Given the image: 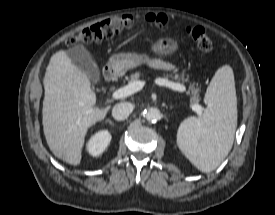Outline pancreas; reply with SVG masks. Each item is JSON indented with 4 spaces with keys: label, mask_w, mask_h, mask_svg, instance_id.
Wrapping results in <instances>:
<instances>
[{
    "label": "pancreas",
    "mask_w": 275,
    "mask_h": 215,
    "mask_svg": "<svg viewBox=\"0 0 275 215\" xmlns=\"http://www.w3.org/2000/svg\"><path fill=\"white\" fill-rule=\"evenodd\" d=\"M140 76H141L140 72H136V73L132 74L130 76L129 83L138 81ZM164 77L166 79L172 78L173 80H175L177 82H182V83L189 82L188 78H185L183 74H181V75H179L177 73L166 74ZM199 91H200V88L195 87L194 84H191V83L189 84V93L191 94V99H190L191 106L194 104H198V102L200 100Z\"/></svg>",
    "instance_id": "cf45deb5"
}]
</instances>
